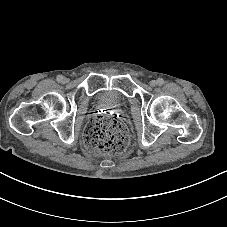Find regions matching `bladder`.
<instances>
[{"mask_svg":"<svg viewBox=\"0 0 227 227\" xmlns=\"http://www.w3.org/2000/svg\"><path fill=\"white\" fill-rule=\"evenodd\" d=\"M94 97L101 106L113 109L126 108L131 103V98L118 88H101Z\"/></svg>","mask_w":227,"mask_h":227,"instance_id":"obj_1","label":"bladder"}]
</instances>
